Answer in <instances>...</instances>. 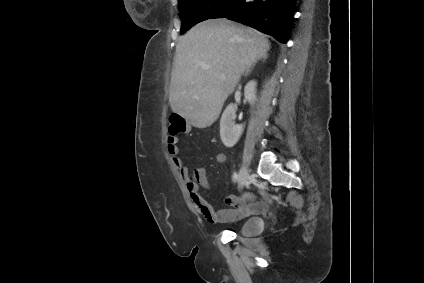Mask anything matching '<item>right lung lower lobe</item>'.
I'll list each match as a JSON object with an SVG mask.
<instances>
[{
    "instance_id": "98d812e1",
    "label": "right lung lower lobe",
    "mask_w": 424,
    "mask_h": 283,
    "mask_svg": "<svg viewBox=\"0 0 424 283\" xmlns=\"http://www.w3.org/2000/svg\"><path fill=\"white\" fill-rule=\"evenodd\" d=\"M296 0H230L211 18H227L286 43Z\"/></svg>"
}]
</instances>
